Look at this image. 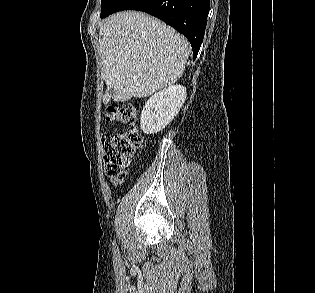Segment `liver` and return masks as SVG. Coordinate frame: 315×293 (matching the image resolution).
<instances>
[{"label": "liver", "mask_w": 315, "mask_h": 293, "mask_svg": "<svg viewBox=\"0 0 315 293\" xmlns=\"http://www.w3.org/2000/svg\"><path fill=\"white\" fill-rule=\"evenodd\" d=\"M103 97L128 101L174 84L185 70L188 40L162 21L136 11L116 13L100 26ZM113 93L110 94V90Z\"/></svg>", "instance_id": "liver-1"}]
</instances>
